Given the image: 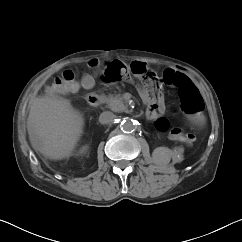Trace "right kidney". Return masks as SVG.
<instances>
[{"instance_id":"obj_1","label":"right kidney","mask_w":242,"mask_h":242,"mask_svg":"<svg viewBox=\"0 0 242 242\" xmlns=\"http://www.w3.org/2000/svg\"><path fill=\"white\" fill-rule=\"evenodd\" d=\"M88 150V146L87 145H84L80 148V150L78 151V154H85Z\"/></svg>"}]
</instances>
